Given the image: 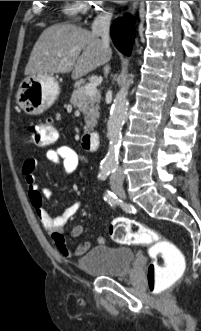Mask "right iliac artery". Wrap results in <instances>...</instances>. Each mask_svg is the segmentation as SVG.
<instances>
[{"instance_id":"82829eb1","label":"right iliac artery","mask_w":201,"mask_h":331,"mask_svg":"<svg viewBox=\"0 0 201 331\" xmlns=\"http://www.w3.org/2000/svg\"><path fill=\"white\" fill-rule=\"evenodd\" d=\"M110 170L114 171L112 169H108V173H110ZM104 200H106L111 206H115L116 204H118L116 195L111 191H107V193L105 194Z\"/></svg>"}]
</instances>
